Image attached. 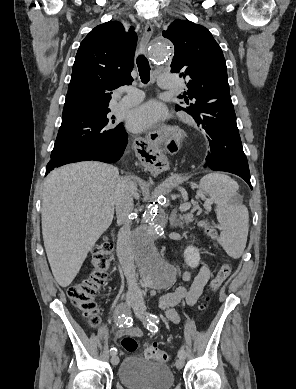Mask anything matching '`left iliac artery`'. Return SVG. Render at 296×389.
Segmentation results:
<instances>
[{
    "instance_id": "obj_1",
    "label": "left iliac artery",
    "mask_w": 296,
    "mask_h": 389,
    "mask_svg": "<svg viewBox=\"0 0 296 389\" xmlns=\"http://www.w3.org/2000/svg\"><path fill=\"white\" fill-rule=\"evenodd\" d=\"M147 321H148L147 329L151 332H154V333L157 332L158 327L156 324L159 322L158 317L154 314H148ZM178 357L185 358V350L183 347L178 351Z\"/></svg>"
}]
</instances>
